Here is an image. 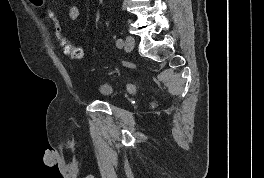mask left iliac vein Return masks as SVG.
Returning <instances> with one entry per match:
<instances>
[{"label": "left iliac vein", "instance_id": "obj_1", "mask_svg": "<svg viewBox=\"0 0 264 178\" xmlns=\"http://www.w3.org/2000/svg\"><path fill=\"white\" fill-rule=\"evenodd\" d=\"M135 46V40L132 36H126L125 39V50L131 52Z\"/></svg>", "mask_w": 264, "mask_h": 178}]
</instances>
